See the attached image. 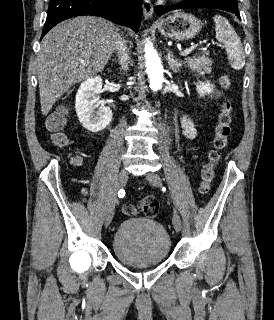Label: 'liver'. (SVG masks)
<instances>
[{"instance_id": "obj_1", "label": "liver", "mask_w": 274, "mask_h": 320, "mask_svg": "<svg viewBox=\"0 0 274 320\" xmlns=\"http://www.w3.org/2000/svg\"><path fill=\"white\" fill-rule=\"evenodd\" d=\"M116 36L115 24L96 16L65 20L44 36L36 60L43 116L71 86L103 72Z\"/></svg>"}]
</instances>
